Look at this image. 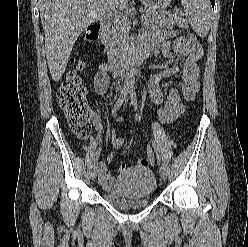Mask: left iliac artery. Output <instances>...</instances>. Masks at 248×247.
<instances>
[{"instance_id": "44dca946", "label": "left iliac artery", "mask_w": 248, "mask_h": 247, "mask_svg": "<svg viewBox=\"0 0 248 247\" xmlns=\"http://www.w3.org/2000/svg\"><path fill=\"white\" fill-rule=\"evenodd\" d=\"M130 98H131V103L134 106L135 110H138L137 100H136V93H135V90L133 89V87H131V90H130ZM153 147H154V151H155V153L157 155V158H158L159 162H161L159 151H158L157 145H156V143L154 141H153Z\"/></svg>"}]
</instances>
